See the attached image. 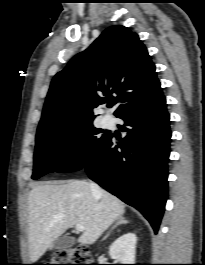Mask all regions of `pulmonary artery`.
<instances>
[{
	"label": "pulmonary artery",
	"mask_w": 205,
	"mask_h": 265,
	"mask_svg": "<svg viewBox=\"0 0 205 265\" xmlns=\"http://www.w3.org/2000/svg\"><path fill=\"white\" fill-rule=\"evenodd\" d=\"M103 123L105 126H110L113 123L112 117L109 115H106L103 119Z\"/></svg>",
	"instance_id": "obj_1"
}]
</instances>
